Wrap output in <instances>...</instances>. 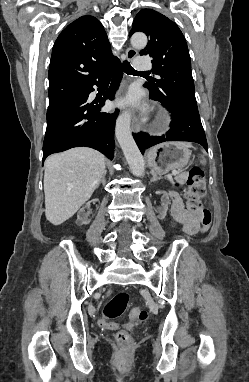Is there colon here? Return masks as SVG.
Here are the masks:
<instances>
[{"label":"colon","mask_w":249,"mask_h":382,"mask_svg":"<svg viewBox=\"0 0 249 382\" xmlns=\"http://www.w3.org/2000/svg\"><path fill=\"white\" fill-rule=\"evenodd\" d=\"M188 190L186 192V207L190 211L200 212L202 214V231H206L212 222V213L208 208L203 207L201 199L206 192L205 176L202 168L193 167L187 179ZM129 302V295L126 292H119L111 297L103 307V318L100 320L103 329H116L118 324L113 320L122 316ZM130 317L137 322H145L148 319V313L144 309L134 308ZM117 342L125 347L132 345L131 335L120 330L115 336Z\"/></svg>","instance_id":"colon-1"}]
</instances>
